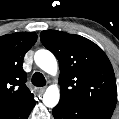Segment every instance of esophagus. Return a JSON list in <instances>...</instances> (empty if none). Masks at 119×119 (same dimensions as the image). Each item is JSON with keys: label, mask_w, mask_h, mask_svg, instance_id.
Masks as SVG:
<instances>
[{"label": "esophagus", "mask_w": 119, "mask_h": 119, "mask_svg": "<svg viewBox=\"0 0 119 119\" xmlns=\"http://www.w3.org/2000/svg\"><path fill=\"white\" fill-rule=\"evenodd\" d=\"M44 91H45V87H40V88L37 89V92H38L39 94H43Z\"/></svg>", "instance_id": "1"}]
</instances>
